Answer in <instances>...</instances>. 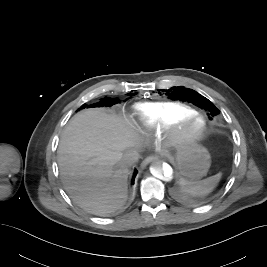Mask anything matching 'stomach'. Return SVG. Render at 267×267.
Here are the masks:
<instances>
[{"mask_svg": "<svg viewBox=\"0 0 267 267\" xmlns=\"http://www.w3.org/2000/svg\"><path fill=\"white\" fill-rule=\"evenodd\" d=\"M175 161L181 175L190 181H197L205 176L211 163L207 149L195 143L179 146Z\"/></svg>", "mask_w": 267, "mask_h": 267, "instance_id": "0dacf381", "label": "stomach"}]
</instances>
